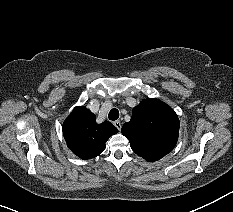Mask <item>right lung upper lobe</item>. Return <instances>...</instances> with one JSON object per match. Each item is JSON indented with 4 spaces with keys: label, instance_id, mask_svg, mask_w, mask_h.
Here are the masks:
<instances>
[{
    "label": "right lung upper lobe",
    "instance_id": "obj_1",
    "mask_svg": "<svg viewBox=\"0 0 233 212\" xmlns=\"http://www.w3.org/2000/svg\"><path fill=\"white\" fill-rule=\"evenodd\" d=\"M118 129L109 121L96 123V116L85 106L74 108L63 124L67 146L79 158L88 160L105 149V143Z\"/></svg>",
    "mask_w": 233,
    "mask_h": 212
}]
</instances>
